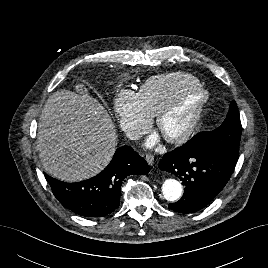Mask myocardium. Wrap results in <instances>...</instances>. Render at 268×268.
Here are the masks:
<instances>
[{
	"label": "myocardium",
	"mask_w": 268,
	"mask_h": 268,
	"mask_svg": "<svg viewBox=\"0 0 268 268\" xmlns=\"http://www.w3.org/2000/svg\"><path fill=\"white\" fill-rule=\"evenodd\" d=\"M195 92L197 94L198 100L195 104V107L192 111L191 118L187 125L177 134L175 135H164L161 131L162 123L167 116H169L180 104V101L183 95L188 92ZM209 100L208 91L203 88L201 85H189L181 90H179L173 97H171L164 106L159 110L156 114V126L157 129L163 134L165 140L171 144H183L190 139V137L196 131L202 116L204 109Z\"/></svg>",
	"instance_id": "1"
}]
</instances>
